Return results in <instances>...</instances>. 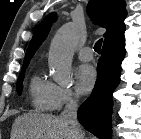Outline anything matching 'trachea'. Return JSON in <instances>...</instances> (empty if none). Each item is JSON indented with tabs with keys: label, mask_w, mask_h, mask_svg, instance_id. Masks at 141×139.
Listing matches in <instances>:
<instances>
[{
	"label": "trachea",
	"mask_w": 141,
	"mask_h": 139,
	"mask_svg": "<svg viewBox=\"0 0 141 139\" xmlns=\"http://www.w3.org/2000/svg\"><path fill=\"white\" fill-rule=\"evenodd\" d=\"M101 46H102V39H99V40L95 43L94 50H95L97 53H100V52H101Z\"/></svg>",
	"instance_id": "1"
}]
</instances>
